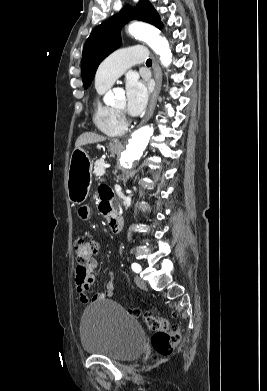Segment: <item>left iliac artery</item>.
Listing matches in <instances>:
<instances>
[{
	"instance_id": "left-iliac-artery-1",
	"label": "left iliac artery",
	"mask_w": 267,
	"mask_h": 391,
	"mask_svg": "<svg viewBox=\"0 0 267 391\" xmlns=\"http://www.w3.org/2000/svg\"><path fill=\"white\" fill-rule=\"evenodd\" d=\"M132 269L134 272L139 273L141 271V266L137 263L132 264Z\"/></svg>"
}]
</instances>
